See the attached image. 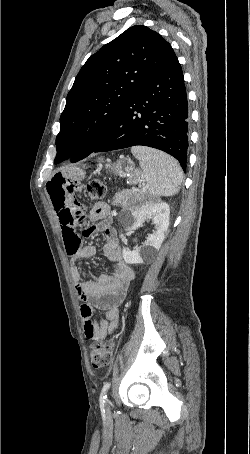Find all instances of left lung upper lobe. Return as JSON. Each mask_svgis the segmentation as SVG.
I'll return each instance as SVG.
<instances>
[{
  "instance_id": "obj_1",
  "label": "left lung upper lobe",
  "mask_w": 250,
  "mask_h": 454,
  "mask_svg": "<svg viewBox=\"0 0 250 454\" xmlns=\"http://www.w3.org/2000/svg\"><path fill=\"white\" fill-rule=\"evenodd\" d=\"M173 53L159 33L136 25L90 56L67 95L54 162L65 156L87 157L134 94Z\"/></svg>"
}]
</instances>
